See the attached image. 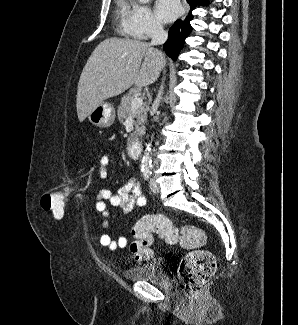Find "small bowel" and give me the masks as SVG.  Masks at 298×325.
Listing matches in <instances>:
<instances>
[{"mask_svg":"<svg viewBox=\"0 0 298 325\" xmlns=\"http://www.w3.org/2000/svg\"><path fill=\"white\" fill-rule=\"evenodd\" d=\"M110 161V151H107L100 156L99 177L101 179H106L108 177L107 167L110 164ZM107 201H109L112 206L122 208L126 214L131 213L135 208L143 207L146 203V200L142 195L140 185L134 178L128 179L115 194L108 189L100 190L96 197L95 208L103 217V229H107L109 225V209L106 203ZM127 243L128 241L125 236H120L116 240L113 239L108 233H104L100 236L101 246L110 250L125 248Z\"/></svg>","mask_w":298,"mask_h":325,"instance_id":"obj_1","label":"small bowel"}]
</instances>
